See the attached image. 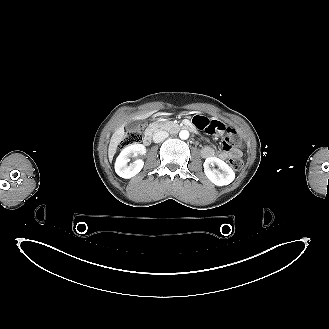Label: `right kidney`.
I'll list each match as a JSON object with an SVG mask.
<instances>
[{
  "label": "right kidney",
  "mask_w": 329,
  "mask_h": 329,
  "mask_svg": "<svg viewBox=\"0 0 329 329\" xmlns=\"http://www.w3.org/2000/svg\"><path fill=\"white\" fill-rule=\"evenodd\" d=\"M145 147L142 144H131L125 147L120 155L117 157L115 162V171L122 178H132L137 175L143 168L144 162L141 159H137L133 163L128 165L131 154H143Z\"/></svg>",
  "instance_id": "ca27d5eb"
}]
</instances>
